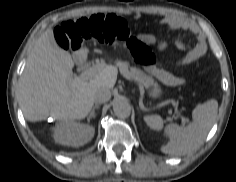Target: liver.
<instances>
[{
	"label": "liver",
	"instance_id": "1",
	"mask_svg": "<svg viewBox=\"0 0 236 182\" xmlns=\"http://www.w3.org/2000/svg\"><path fill=\"white\" fill-rule=\"evenodd\" d=\"M73 67L70 53L59 47L53 30L47 29L29 55L19 82V103L27 120L83 119L92 111L95 91L112 89L116 83L118 71L113 66L89 80L73 74Z\"/></svg>",
	"mask_w": 236,
	"mask_h": 182
}]
</instances>
